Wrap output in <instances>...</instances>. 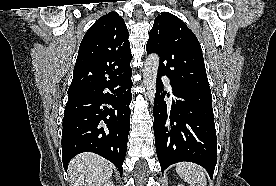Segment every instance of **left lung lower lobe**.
<instances>
[{
  "label": "left lung lower lobe",
  "mask_w": 276,
  "mask_h": 186,
  "mask_svg": "<svg viewBox=\"0 0 276 186\" xmlns=\"http://www.w3.org/2000/svg\"><path fill=\"white\" fill-rule=\"evenodd\" d=\"M158 73L154 100V135L163 172L168 166L190 161L204 167L212 178L217 163V137L211 93H199L171 83L172 104Z\"/></svg>",
  "instance_id": "left-lung-lower-lobe-1"
}]
</instances>
